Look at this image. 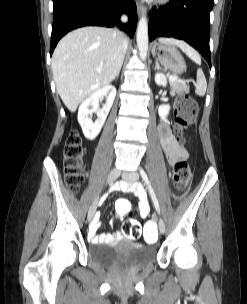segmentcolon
<instances>
[{
  "label": "colon",
  "instance_id": "colon-1",
  "mask_svg": "<svg viewBox=\"0 0 247 304\" xmlns=\"http://www.w3.org/2000/svg\"><path fill=\"white\" fill-rule=\"evenodd\" d=\"M197 114V104L189 95H182L176 102L174 125L177 134L183 137L188 127L193 123ZM84 153L85 149L79 133L75 130L69 133L64 148V176L67 186L72 192H77L84 181ZM191 172L187 161L181 157L174 166L172 175L173 186L177 190H183L188 185ZM120 215L128 216L132 212L131 204L121 199L116 204ZM125 235L131 239L138 238L142 233V226L136 220H128L124 226ZM158 224H147L145 237L146 246H155L158 238Z\"/></svg>",
  "mask_w": 247,
  "mask_h": 304
}]
</instances>
